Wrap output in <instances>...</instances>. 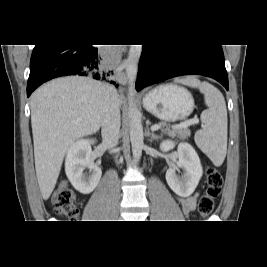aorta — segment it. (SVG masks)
<instances>
[{
  "label": "aorta",
  "instance_id": "aorta-1",
  "mask_svg": "<svg viewBox=\"0 0 267 267\" xmlns=\"http://www.w3.org/2000/svg\"><path fill=\"white\" fill-rule=\"evenodd\" d=\"M141 53H142V45H131L128 58L125 61L126 74L129 80L128 102H129V119H130V141L132 145L133 156L137 159L141 157L142 149L144 146L141 114L134 100L135 80Z\"/></svg>",
  "mask_w": 267,
  "mask_h": 267
}]
</instances>
